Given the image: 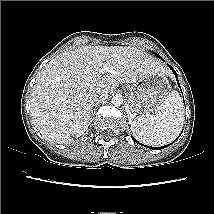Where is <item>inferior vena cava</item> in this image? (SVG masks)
<instances>
[{"label": "inferior vena cava", "mask_w": 214, "mask_h": 214, "mask_svg": "<svg viewBox=\"0 0 214 214\" xmlns=\"http://www.w3.org/2000/svg\"><path fill=\"white\" fill-rule=\"evenodd\" d=\"M108 97L107 92L104 90H97L89 95V100L92 104L103 102Z\"/></svg>", "instance_id": "1"}]
</instances>
